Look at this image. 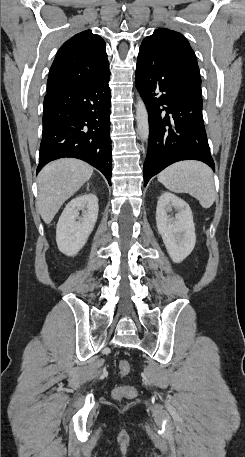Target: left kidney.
I'll return each instance as SVG.
<instances>
[{
  "mask_svg": "<svg viewBox=\"0 0 245 457\" xmlns=\"http://www.w3.org/2000/svg\"><path fill=\"white\" fill-rule=\"evenodd\" d=\"M175 208V216L172 212ZM157 229L163 239L167 253L173 263H182L196 243L195 226L192 210L173 192H163L158 198L156 208Z\"/></svg>",
  "mask_w": 245,
  "mask_h": 457,
  "instance_id": "obj_1",
  "label": "left kidney"
}]
</instances>
